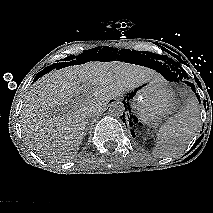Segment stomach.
<instances>
[{
  "instance_id": "1",
  "label": "stomach",
  "mask_w": 213,
  "mask_h": 213,
  "mask_svg": "<svg viewBox=\"0 0 213 213\" xmlns=\"http://www.w3.org/2000/svg\"><path fill=\"white\" fill-rule=\"evenodd\" d=\"M131 93L135 116L143 123L156 124L179 108L175 91L163 79L142 83Z\"/></svg>"
}]
</instances>
